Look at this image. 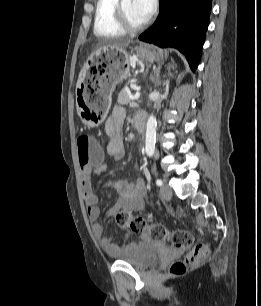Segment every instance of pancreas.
I'll return each mask as SVG.
<instances>
[{"label":"pancreas","instance_id":"obj_1","mask_svg":"<svg viewBox=\"0 0 261 306\" xmlns=\"http://www.w3.org/2000/svg\"><path fill=\"white\" fill-rule=\"evenodd\" d=\"M131 92L129 88H123L118 95V103L121 105H127L131 102L130 98Z\"/></svg>","mask_w":261,"mask_h":306}]
</instances>
